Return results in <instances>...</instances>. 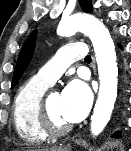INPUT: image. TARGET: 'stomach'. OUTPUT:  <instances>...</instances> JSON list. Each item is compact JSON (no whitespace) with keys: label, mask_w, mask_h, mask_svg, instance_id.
Masks as SVG:
<instances>
[{"label":"stomach","mask_w":131,"mask_h":151,"mask_svg":"<svg viewBox=\"0 0 131 151\" xmlns=\"http://www.w3.org/2000/svg\"><path fill=\"white\" fill-rule=\"evenodd\" d=\"M57 151H71V148L70 147H63V148H58Z\"/></svg>","instance_id":"1"}]
</instances>
